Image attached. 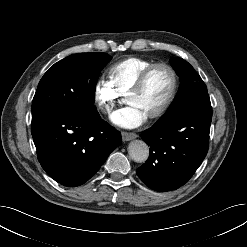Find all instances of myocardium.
Returning <instances> with one entry per match:
<instances>
[{
    "label": "myocardium",
    "instance_id": "1",
    "mask_svg": "<svg viewBox=\"0 0 247 247\" xmlns=\"http://www.w3.org/2000/svg\"><path fill=\"white\" fill-rule=\"evenodd\" d=\"M156 68H165L166 70H168L171 75L172 83H171L170 92L166 100L157 111H155L154 113H152L147 117L149 120H155L163 116L166 113V111L169 109L171 104L173 103L178 91V76L175 69L171 65L163 62L151 64L142 71V73L139 75L138 79L136 80L135 84L131 87V89L126 94L127 96H129L140 93L143 90L149 75Z\"/></svg>",
    "mask_w": 247,
    "mask_h": 247
}]
</instances>
